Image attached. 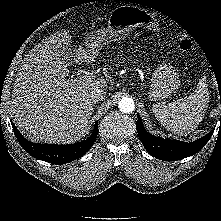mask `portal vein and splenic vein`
Masks as SVG:
<instances>
[{"label": "portal vein and splenic vein", "mask_w": 221, "mask_h": 221, "mask_svg": "<svg viewBox=\"0 0 221 221\" xmlns=\"http://www.w3.org/2000/svg\"><path fill=\"white\" fill-rule=\"evenodd\" d=\"M93 79V76L87 74L84 71H80L78 73V77L75 79H71L70 81L74 83H91L94 81Z\"/></svg>", "instance_id": "1"}]
</instances>
